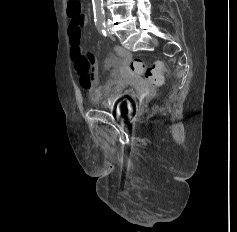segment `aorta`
<instances>
[{
    "instance_id": "aorta-1",
    "label": "aorta",
    "mask_w": 237,
    "mask_h": 232,
    "mask_svg": "<svg viewBox=\"0 0 237 232\" xmlns=\"http://www.w3.org/2000/svg\"><path fill=\"white\" fill-rule=\"evenodd\" d=\"M94 20L96 23H103L105 20V12L103 9V0H92Z\"/></svg>"
}]
</instances>
